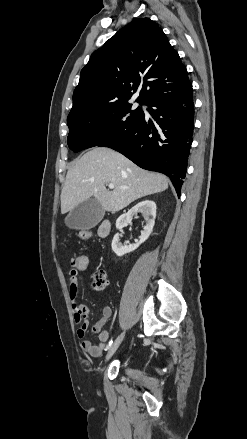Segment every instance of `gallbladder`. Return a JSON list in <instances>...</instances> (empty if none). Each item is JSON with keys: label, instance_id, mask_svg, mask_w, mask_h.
<instances>
[{"label": "gallbladder", "instance_id": "1", "mask_svg": "<svg viewBox=\"0 0 247 439\" xmlns=\"http://www.w3.org/2000/svg\"><path fill=\"white\" fill-rule=\"evenodd\" d=\"M104 213L100 203L94 198H89L70 211L65 218V224L71 229H90L102 220Z\"/></svg>", "mask_w": 247, "mask_h": 439}]
</instances>
